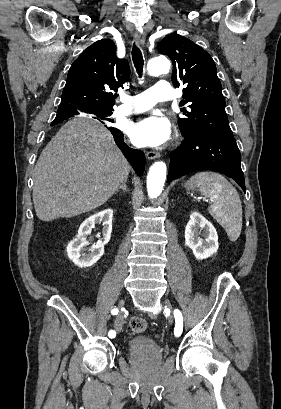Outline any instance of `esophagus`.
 <instances>
[{"label":"esophagus","instance_id":"34e87169","mask_svg":"<svg viewBox=\"0 0 281 409\" xmlns=\"http://www.w3.org/2000/svg\"><path fill=\"white\" fill-rule=\"evenodd\" d=\"M134 38H135L137 45H141V46L145 45L146 38L143 33L135 32ZM146 157L149 160L157 159L158 157H160V153L155 152V151L147 152Z\"/></svg>","mask_w":281,"mask_h":409}]
</instances>
